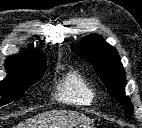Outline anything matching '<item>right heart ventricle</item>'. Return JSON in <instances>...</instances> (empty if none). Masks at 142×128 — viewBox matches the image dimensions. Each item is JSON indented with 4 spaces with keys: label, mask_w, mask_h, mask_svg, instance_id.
Here are the masks:
<instances>
[{
    "label": "right heart ventricle",
    "mask_w": 142,
    "mask_h": 128,
    "mask_svg": "<svg viewBox=\"0 0 142 128\" xmlns=\"http://www.w3.org/2000/svg\"><path fill=\"white\" fill-rule=\"evenodd\" d=\"M58 99L75 105H91L97 94L89 81L78 71L66 73L57 85Z\"/></svg>",
    "instance_id": "obj_1"
}]
</instances>
